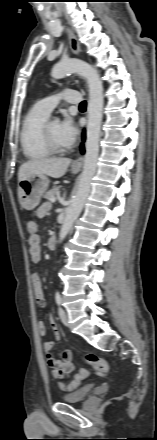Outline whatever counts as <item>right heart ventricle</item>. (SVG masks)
Instances as JSON below:
<instances>
[{"instance_id": "e07e8e85", "label": "right heart ventricle", "mask_w": 157, "mask_h": 440, "mask_svg": "<svg viewBox=\"0 0 157 440\" xmlns=\"http://www.w3.org/2000/svg\"><path fill=\"white\" fill-rule=\"evenodd\" d=\"M47 119L48 115L36 106L32 107L23 119L20 141L23 152L28 158L36 159L52 154L42 136V128Z\"/></svg>"}]
</instances>
